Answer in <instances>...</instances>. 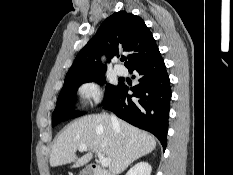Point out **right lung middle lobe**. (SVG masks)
Returning a JSON list of instances; mask_svg holds the SVG:
<instances>
[{
  "label": "right lung middle lobe",
  "mask_w": 233,
  "mask_h": 175,
  "mask_svg": "<svg viewBox=\"0 0 233 175\" xmlns=\"http://www.w3.org/2000/svg\"><path fill=\"white\" fill-rule=\"evenodd\" d=\"M98 82L99 84H104L105 77L104 73L93 75L86 78L68 80L64 82V86L58 96L57 105L52 117V126L57 125L58 123L82 115L83 113L77 112L73 108V101L75 93L78 87L86 82ZM120 84L118 85H106V93L104 103L113 96V94L119 89Z\"/></svg>",
  "instance_id": "right-lung-middle-lobe-1"
}]
</instances>
